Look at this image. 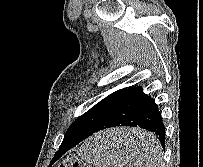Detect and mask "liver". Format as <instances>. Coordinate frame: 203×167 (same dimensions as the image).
<instances>
[{"label":"liver","mask_w":203,"mask_h":167,"mask_svg":"<svg viewBox=\"0 0 203 167\" xmlns=\"http://www.w3.org/2000/svg\"><path fill=\"white\" fill-rule=\"evenodd\" d=\"M146 132L139 129H111L100 135H107L113 140V153L118 160L126 162L124 167H140L139 151L136 145L139 143L140 137Z\"/></svg>","instance_id":"1"}]
</instances>
